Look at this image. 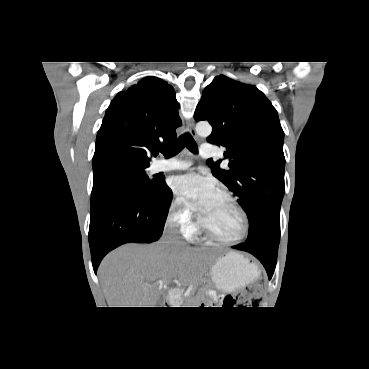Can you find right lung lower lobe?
I'll return each instance as SVG.
<instances>
[{"label": "right lung lower lobe", "mask_w": 369, "mask_h": 369, "mask_svg": "<svg viewBox=\"0 0 369 369\" xmlns=\"http://www.w3.org/2000/svg\"><path fill=\"white\" fill-rule=\"evenodd\" d=\"M163 184L160 191L148 195L115 187L91 202L89 245L95 273L103 257L116 247L161 237L172 200L171 189Z\"/></svg>", "instance_id": "1"}]
</instances>
